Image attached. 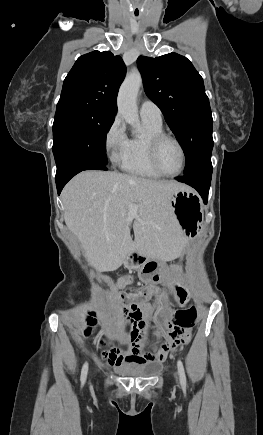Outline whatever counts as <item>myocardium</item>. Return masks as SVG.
I'll use <instances>...</instances> for the list:
<instances>
[{
    "label": "myocardium",
    "mask_w": 263,
    "mask_h": 435,
    "mask_svg": "<svg viewBox=\"0 0 263 435\" xmlns=\"http://www.w3.org/2000/svg\"><path fill=\"white\" fill-rule=\"evenodd\" d=\"M166 140H170L173 141L180 149L181 155H182V165L181 168L178 172L176 173H167L165 172L158 161V151H159V147L160 145L166 141ZM148 154H149V160L150 163L152 165V167L161 175V176H165V177H176L179 176L180 174L183 173V171L186 168V163H187V156H186V150L183 146V144L181 143V141L170 134L167 133H160V134H156L154 136H152L149 140L148 143Z\"/></svg>",
    "instance_id": "obj_1"
}]
</instances>
